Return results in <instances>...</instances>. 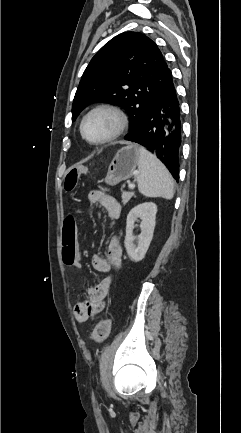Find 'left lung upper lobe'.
I'll return each mask as SVG.
<instances>
[{"instance_id": "left-lung-upper-lobe-1", "label": "left lung upper lobe", "mask_w": 241, "mask_h": 433, "mask_svg": "<svg viewBox=\"0 0 241 433\" xmlns=\"http://www.w3.org/2000/svg\"><path fill=\"white\" fill-rule=\"evenodd\" d=\"M169 71L150 38L136 32L117 35L84 71L72 104V120L91 103L111 101L127 111L133 131L163 89Z\"/></svg>"}]
</instances>
